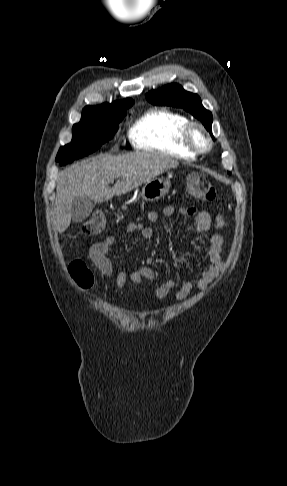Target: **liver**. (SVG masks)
Instances as JSON below:
<instances>
[{
    "label": "liver",
    "instance_id": "1",
    "mask_svg": "<svg viewBox=\"0 0 287 486\" xmlns=\"http://www.w3.org/2000/svg\"><path fill=\"white\" fill-rule=\"evenodd\" d=\"M179 165L177 160L157 153H130L119 156L99 155L62 171L57 180L53 226L65 232L72 219V202L88 197L101 203L114 195L130 192L164 171ZM117 178L111 188L109 183Z\"/></svg>",
    "mask_w": 287,
    "mask_h": 486
}]
</instances>
